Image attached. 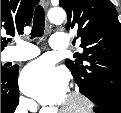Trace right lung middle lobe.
I'll return each mask as SVG.
<instances>
[{
    "mask_svg": "<svg viewBox=\"0 0 121 113\" xmlns=\"http://www.w3.org/2000/svg\"><path fill=\"white\" fill-rule=\"evenodd\" d=\"M6 69L4 67H2L1 65V73H3Z\"/></svg>",
    "mask_w": 121,
    "mask_h": 113,
    "instance_id": "obj_1",
    "label": "right lung middle lobe"
}]
</instances>
